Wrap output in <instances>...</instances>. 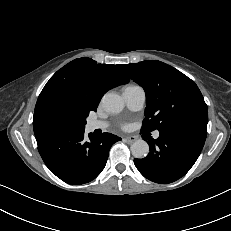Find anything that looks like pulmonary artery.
Here are the masks:
<instances>
[{
    "label": "pulmonary artery",
    "instance_id": "obj_1",
    "mask_svg": "<svg viewBox=\"0 0 231 231\" xmlns=\"http://www.w3.org/2000/svg\"><path fill=\"white\" fill-rule=\"evenodd\" d=\"M123 97L125 99L127 107L132 111H138L142 109L146 99L144 89L137 85L125 88V90L123 91ZM106 127V122L100 120H90L87 123V129L89 131L104 129ZM154 137H159L158 131L155 132Z\"/></svg>",
    "mask_w": 231,
    "mask_h": 231
}]
</instances>
